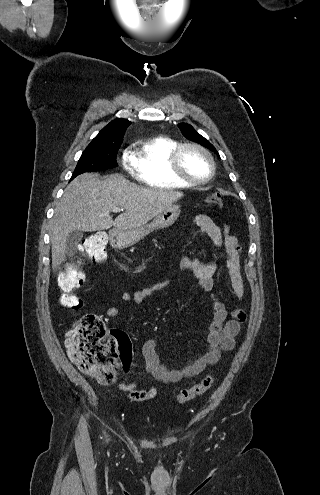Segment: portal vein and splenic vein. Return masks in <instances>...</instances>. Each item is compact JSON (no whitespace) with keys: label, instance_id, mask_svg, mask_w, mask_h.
I'll use <instances>...</instances> for the list:
<instances>
[{"label":"portal vein and splenic vein","instance_id":"1","mask_svg":"<svg viewBox=\"0 0 320 495\" xmlns=\"http://www.w3.org/2000/svg\"><path fill=\"white\" fill-rule=\"evenodd\" d=\"M123 210H124L123 208H119V207L113 209L114 212H120V211H123Z\"/></svg>","mask_w":320,"mask_h":495}]
</instances>
